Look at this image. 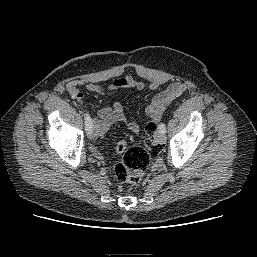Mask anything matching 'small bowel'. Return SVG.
I'll use <instances>...</instances> for the list:
<instances>
[{
    "mask_svg": "<svg viewBox=\"0 0 257 257\" xmlns=\"http://www.w3.org/2000/svg\"><path fill=\"white\" fill-rule=\"evenodd\" d=\"M164 80L157 78L149 83V89L156 90L162 86ZM144 82L133 78L131 75H125L116 78L107 88L98 83L85 80H76L67 84L66 89L70 96L80 103H84L85 96L82 89H86L100 96H105L107 91H116L123 89H144ZM186 89L184 83L176 81L171 83L165 90L157 93L145 109L147 117L153 120H159L164 109L176 98H178ZM97 136H104L115 123H123L127 128L138 134L140 127L137 122L131 120L124 112L123 106L116 101L111 106L99 110L92 119Z\"/></svg>",
    "mask_w": 257,
    "mask_h": 257,
    "instance_id": "c3829d8e",
    "label": "small bowel"
}]
</instances>
